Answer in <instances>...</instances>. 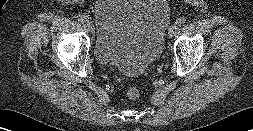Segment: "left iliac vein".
Here are the masks:
<instances>
[{"label":"left iliac vein","instance_id":"4c4485c4","mask_svg":"<svg viewBox=\"0 0 253 131\" xmlns=\"http://www.w3.org/2000/svg\"><path fill=\"white\" fill-rule=\"evenodd\" d=\"M177 27L178 26L176 24H173V25H171L169 27V29H168V36H169V38H171L175 34V32L177 30Z\"/></svg>","mask_w":253,"mask_h":131}]
</instances>
